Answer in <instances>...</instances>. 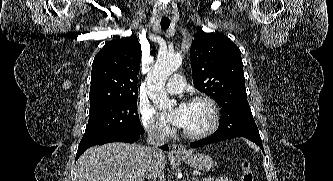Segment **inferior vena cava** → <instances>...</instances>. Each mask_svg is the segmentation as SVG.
I'll list each match as a JSON object with an SVG mask.
<instances>
[{"label": "inferior vena cava", "instance_id": "obj_1", "mask_svg": "<svg viewBox=\"0 0 333 181\" xmlns=\"http://www.w3.org/2000/svg\"><path fill=\"white\" fill-rule=\"evenodd\" d=\"M147 133V143L151 145V147L148 148L149 157L147 177L151 181H156L158 177L160 178V181H165L159 161L163 153L158 147L168 142L167 133L164 128L156 125L150 126L147 129Z\"/></svg>", "mask_w": 333, "mask_h": 181}]
</instances>
